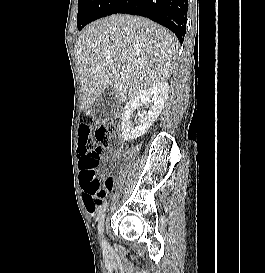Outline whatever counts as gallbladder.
I'll list each match as a JSON object with an SVG mask.
<instances>
[{"instance_id": "bac80fb5", "label": "gallbladder", "mask_w": 265, "mask_h": 273, "mask_svg": "<svg viewBox=\"0 0 265 273\" xmlns=\"http://www.w3.org/2000/svg\"><path fill=\"white\" fill-rule=\"evenodd\" d=\"M119 106L120 102L116 97L113 88L109 87L97 100L95 106L96 117L108 119L118 110Z\"/></svg>"}]
</instances>
